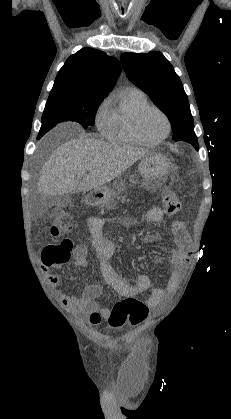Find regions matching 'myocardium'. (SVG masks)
<instances>
[{"label":"myocardium","instance_id":"1","mask_svg":"<svg viewBox=\"0 0 231 419\" xmlns=\"http://www.w3.org/2000/svg\"><path fill=\"white\" fill-rule=\"evenodd\" d=\"M149 110L158 111L163 116V118L165 119L166 125H167V129H166V132L164 133V135L161 136L160 138L154 139V140L148 139L143 134L142 129H141L142 118ZM171 127H172L171 121H170V118L168 117V115L166 114V112L163 109H161L160 107L156 106V105L148 104V105L142 107L140 110L137 111V113L135 114L134 119H133V129H134L135 135L137 136V138L142 143L147 144V145H157V144L161 143L162 141H164L169 136V134L171 132Z\"/></svg>","mask_w":231,"mask_h":419}]
</instances>
